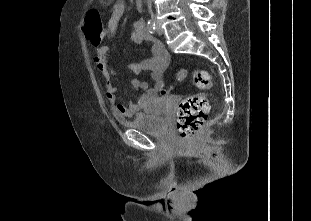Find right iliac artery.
<instances>
[{
    "label": "right iliac artery",
    "mask_w": 311,
    "mask_h": 221,
    "mask_svg": "<svg viewBox=\"0 0 311 221\" xmlns=\"http://www.w3.org/2000/svg\"><path fill=\"white\" fill-rule=\"evenodd\" d=\"M147 29L150 34H154L156 30L155 23L151 20L147 22Z\"/></svg>",
    "instance_id": "obj_1"
}]
</instances>
